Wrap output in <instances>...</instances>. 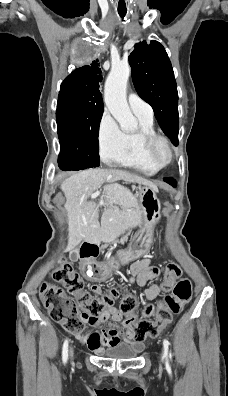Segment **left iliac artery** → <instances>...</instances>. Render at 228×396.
Segmentation results:
<instances>
[{"mask_svg":"<svg viewBox=\"0 0 228 396\" xmlns=\"http://www.w3.org/2000/svg\"><path fill=\"white\" fill-rule=\"evenodd\" d=\"M163 345H164V355L167 357L170 343L167 339H164Z\"/></svg>","mask_w":228,"mask_h":396,"instance_id":"obj_1","label":"left iliac artery"}]
</instances>
